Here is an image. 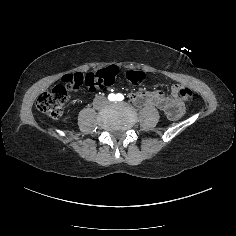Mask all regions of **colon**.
Masks as SVG:
<instances>
[{
    "mask_svg": "<svg viewBox=\"0 0 236 236\" xmlns=\"http://www.w3.org/2000/svg\"><path fill=\"white\" fill-rule=\"evenodd\" d=\"M120 71L116 66H108L93 73H74L65 75L62 83L56 85L51 91L42 93L37 99V108L54 119H60L65 113V105L68 100V94L82 87L91 92L98 91L112 85ZM122 76L131 84H140L145 75L141 71L126 70ZM176 95L181 102H188L192 98V91L186 87H177Z\"/></svg>",
    "mask_w": 236,
    "mask_h": 236,
    "instance_id": "1",
    "label": "colon"
}]
</instances>
